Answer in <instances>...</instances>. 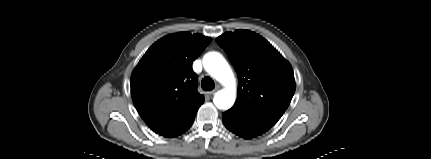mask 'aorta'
I'll use <instances>...</instances> for the list:
<instances>
[{"mask_svg":"<svg viewBox=\"0 0 431 159\" xmlns=\"http://www.w3.org/2000/svg\"><path fill=\"white\" fill-rule=\"evenodd\" d=\"M204 69L225 88L218 91L213 99L218 109H230L236 99V83L234 74L224 59L218 52H209L203 57Z\"/></svg>","mask_w":431,"mask_h":159,"instance_id":"aorta-1","label":"aorta"}]
</instances>
